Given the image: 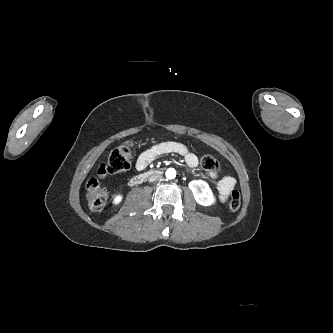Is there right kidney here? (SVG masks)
Wrapping results in <instances>:
<instances>
[{
    "label": "right kidney",
    "instance_id": "1",
    "mask_svg": "<svg viewBox=\"0 0 333 333\" xmlns=\"http://www.w3.org/2000/svg\"><path fill=\"white\" fill-rule=\"evenodd\" d=\"M122 200V195H116L113 199V204H118Z\"/></svg>",
    "mask_w": 333,
    "mask_h": 333
}]
</instances>
